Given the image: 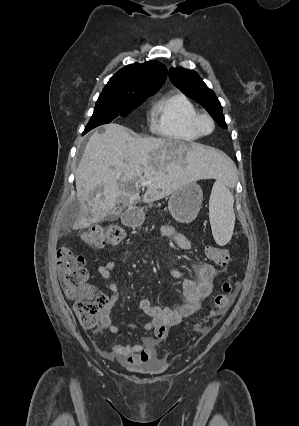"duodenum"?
I'll list each match as a JSON object with an SVG mask.
<instances>
[{
	"label": "duodenum",
	"instance_id": "1",
	"mask_svg": "<svg viewBox=\"0 0 299 426\" xmlns=\"http://www.w3.org/2000/svg\"><path fill=\"white\" fill-rule=\"evenodd\" d=\"M123 220L126 224L131 225L133 223H135L136 221V213L134 210H129L127 211L124 216H123Z\"/></svg>",
	"mask_w": 299,
	"mask_h": 426
}]
</instances>
